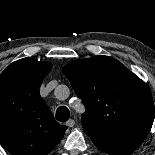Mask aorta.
<instances>
[{"mask_svg": "<svg viewBox=\"0 0 155 155\" xmlns=\"http://www.w3.org/2000/svg\"><path fill=\"white\" fill-rule=\"evenodd\" d=\"M68 93V87L65 85H59L56 89H55V94L58 98H62L64 97L66 94Z\"/></svg>", "mask_w": 155, "mask_h": 155, "instance_id": "obj_1", "label": "aorta"}]
</instances>
